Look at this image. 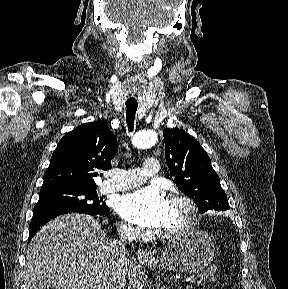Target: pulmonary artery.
I'll return each instance as SVG.
<instances>
[{
  "label": "pulmonary artery",
  "mask_w": 288,
  "mask_h": 289,
  "mask_svg": "<svg viewBox=\"0 0 288 289\" xmlns=\"http://www.w3.org/2000/svg\"><path fill=\"white\" fill-rule=\"evenodd\" d=\"M158 170L157 158L150 156L144 161L141 168L113 170L110 178L101 184L100 189L103 192L131 189L142 184L147 177L156 175Z\"/></svg>",
  "instance_id": "pulmonary-artery-1"
}]
</instances>
